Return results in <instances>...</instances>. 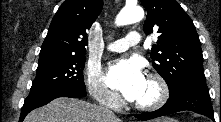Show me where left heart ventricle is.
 Masks as SVG:
<instances>
[{"label": "left heart ventricle", "mask_w": 221, "mask_h": 122, "mask_svg": "<svg viewBox=\"0 0 221 122\" xmlns=\"http://www.w3.org/2000/svg\"><path fill=\"white\" fill-rule=\"evenodd\" d=\"M156 94H157V89L155 85L147 80L145 88L142 94L140 95V97L136 100V102H142V103L149 102L156 97Z\"/></svg>", "instance_id": "b2bd125f"}]
</instances>
